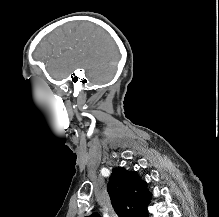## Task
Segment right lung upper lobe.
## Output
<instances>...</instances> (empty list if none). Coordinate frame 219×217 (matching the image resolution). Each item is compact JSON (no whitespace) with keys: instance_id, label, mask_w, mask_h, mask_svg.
<instances>
[{"instance_id":"1","label":"right lung upper lobe","mask_w":219,"mask_h":217,"mask_svg":"<svg viewBox=\"0 0 219 217\" xmlns=\"http://www.w3.org/2000/svg\"><path fill=\"white\" fill-rule=\"evenodd\" d=\"M146 183L135 171L114 168L107 190L112 206L119 217H148V204L151 194ZM88 217H100L93 213Z\"/></svg>"}]
</instances>
